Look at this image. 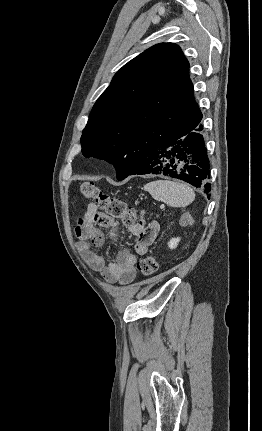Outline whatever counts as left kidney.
Segmentation results:
<instances>
[{
	"mask_svg": "<svg viewBox=\"0 0 262 431\" xmlns=\"http://www.w3.org/2000/svg\"><path fill=\"white\" fill-rule=\"evenodd\" d=\"M180 241V238H172L169 242H168V246L170 249H174L177 247L178 243Z\"/></svg>",
	"mask_w": 262,
	"mask_h": 431,
	"instance_id": "obj_1",
	"label": "left kidney"
}]
</instances>
